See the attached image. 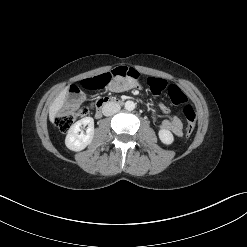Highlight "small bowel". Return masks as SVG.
<instances>
[{"mask_svg": "<svg viewBox=\"0 0 247 247\" xmlns=\"http://www.w3.org/2000/svg\"><path fill=\"white\" fill-rule=\"evenodd\" d=\"M138 88L139 85L136 79L130 77H117L115 82L109 86V89L114 92H125ZM158 108L163 113L169 111L168 107L162 103L158 104ZM160 128L164 131L171 132L175 136H181L183 134V125L181 119L177 115H172L168 119L164 120L161 123Z\"/></svg>", "mask_w": 247, "mask_h": 247, "instance_id": "obj_1", "label": "small bowel"}]
</instances>
